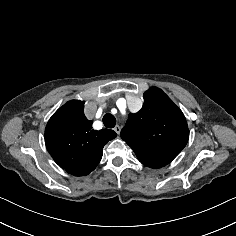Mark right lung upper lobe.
<instances>
[{
    "instance_id": "obj_1",
    "label": "right lung upper lobe",
    "mask_w": 236,
    "mask_h": 236,
    "mask_svg": "<svg viewBox=\"0 0 236 236\" xmlns=\"http://www.w3.org/2000/svg\"><path fill=\"white\" fill-rule=\"evenodd\" d=\"M117 136L113 130L92 129L84 102L73 100L59 108L45 128V144L55 162L75 176L89 174L102 158L104 145Z\"/></svg>"
}]
</instances>
